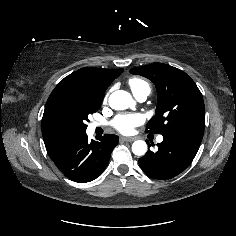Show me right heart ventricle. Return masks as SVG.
<instances>
[{
    "instance_id": "1",
    "label": "right heart ventricle",
    "mask_w": 236,
    "mask_h": 236,
    "mask_svg": "<svg viewBox=\"0 0 236 236\" xmlns=\"http://www.w3.org/2000/svg\"><path fill=\"white\" fill-rule=\"evenodd\" d=\"M128 84L135 96L142 93H145L147 95L150 93L151 89L148 82L141 78H131L129 79Z\"/></svg>"
}]
</instances>
